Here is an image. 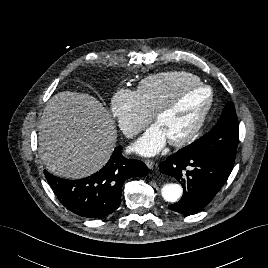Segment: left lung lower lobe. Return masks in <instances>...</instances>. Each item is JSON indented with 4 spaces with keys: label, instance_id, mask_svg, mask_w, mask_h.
<instances>
[{
    "label": "left lung lower lobe",
    "instance_id": "1",
    "mask_svg": "<svg viewBox=\"0 0 268 268\" xmlns=\"http://www.w3.org/2000/svg\"><path fill=\"white\" fill-rule=\"evenodd\" d=\"M234 164L211 156L189 155L180 150L160 165V172L183 186L182 198L169 209L191 215L201 211L225 184Z\"/></svg>",
    "mask_w": 268,
    "mask_h": 268
}]
</instances>
